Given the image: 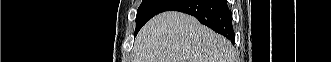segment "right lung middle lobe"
Instances as JSON below:
<instances>
[{"label":"right lung middle lobe","mask_w":331,"mask_h":62,"mask_svg":"<svg viewBox=\"0 0 331 62\" xmlns=\"http://www.w3.org/2000/svg\"><path fill=\"white\" fill-rule=\"evenodd\" d=\"M173 0H143L137 10L135 34L153 16L160 13Z\"/></svg>","instance_id":"right-lung-middle-lobe-1"}]
</instances>
